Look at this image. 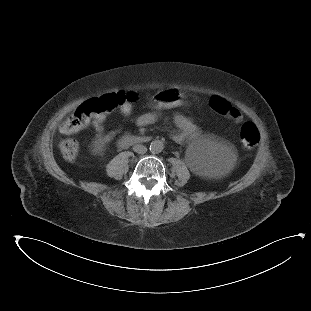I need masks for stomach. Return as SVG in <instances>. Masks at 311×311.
I'll return each instance as SVG.
<instances>
[{"mask_svg": "<svg viewBox=\"0 0 311 311\" xmlns=\"http://www.w3.org/2000/svg\"><path fill=\"white\" fill-rule=\"evenodd\" d=\"M179 97L176 96H170V97H161V93L157 94L154 97V101L158 106H165V107H170V106H177L179 105Z\"/></svg>", "mask_w": 311, "mask_h": 311, "instance_id": "obj_1", "label": "stomach"}]
</instances>
